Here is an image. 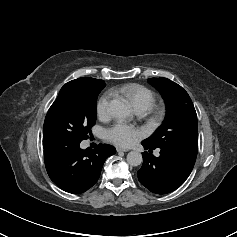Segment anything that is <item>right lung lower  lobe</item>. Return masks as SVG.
Masks as SVG:
<instances>
[{
    "instance_id": "1",
    "label": "right lung lower lobe",
    "mask_w": 237,
    "mask_h": 237,
    "mask_svg": "<svg viewBox=\"0 0 237 237\" xmlns=\"http://www.w3.org/2000/svg\"><path fill=\"white\" fill-rule=\"evenodd\" d=\"M44 160L50 179L68 193H83L98 180L107 157L114 147L99 144L85 150L79 141L57 135H43Z\"/></svg>"
}]
</instances>
